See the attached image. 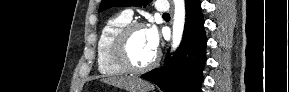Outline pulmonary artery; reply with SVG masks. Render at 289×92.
I'll use <instances>...</instances> for the list:
<instances>
[{"label":"pulmonary artery","instance_id":"pulmonary-artery-1","mask_svg":"<svg viewBox=\"0 0 289 92\" xmlns=\"http://www.w3.org/2000/svg\"><path fill=\"white\" fill-rule=\"evenodd\" d=\"M155 8L157 9V11H159V12H161V13H167L168 10H169L168 4H167L166 2H164V1H157V2L155 3ZM124 14H125L126 16H128L129 18L132 17V11H131V10H126V11L124 12Z\"/></svg>","mask_w":289,"mask_h":92}]
</instances>
